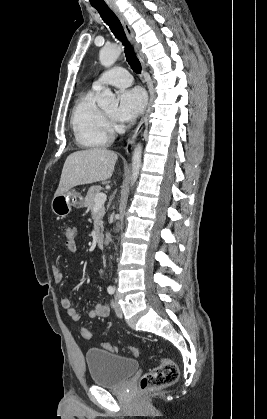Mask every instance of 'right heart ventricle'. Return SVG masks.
<instances>
[{
  "label": "right heart ventricle",
  "mask_w": 267,
  "mask_h": 419,
  "mask_svg": "<svg viewBox=\"0 0 267 419\" xmlns=\"http://www.w3.org/2000/svg\"><path fill=\"white\" fill-rule=\"evenodd\" d=\"M98 90L92 88L76 101L71 113V126L76 142L84 148L108 145L111 132L105 112L97 105Z\"/></svg>",
  "instance_id": "1"
}]
</instances>
